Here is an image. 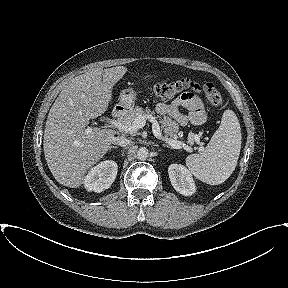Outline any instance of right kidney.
Returning a JSON list of instances; mask_svg holds the SVG:
<instances>
[{
	"mask_svg": "<svg viewBox=\"0 0 288 288\" xmlns=\"http://www.w3.org/2000/svg\"><path fill=\"white\" fill-rule=\"evenodd\" d=\"M118 171L117 163L106 160L93 167L84 179V187L88 191L100 193L108 189L114 182Z\"/></svg>",
	"mask_w": 288,
	"mask_h": 288,
	"instance_id": "ca27d5eb",
	"label": "right kidney"
}]
</instances>
